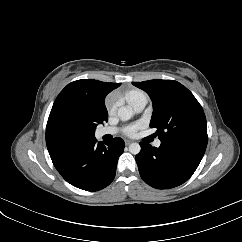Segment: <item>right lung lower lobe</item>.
<instances>
[{"label":"right lung lower lobe","mask_w":242,"mask_h":242,"mask_svg":"<svg viewBox=\"0 0 242 242\" xmlns=\"http://www.w3.org/2000/svg\"><path fill=\"white\" fill-rule=\"evenodd\" d=\"M124 146L118 137L107 143L93 138L78 142L51 159L67 182L82 190L98 191L113 181Z\"/></svg>","instance_id":"98d812e1"}]
</instances>
